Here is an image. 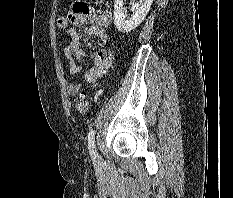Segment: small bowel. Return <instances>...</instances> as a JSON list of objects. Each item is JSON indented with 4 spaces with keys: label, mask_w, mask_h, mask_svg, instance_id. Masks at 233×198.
I'll use <instances>...</instances> for the list:
<instances>
[{
    "label": "small bowel",
    "mask_w": 233,
    "mask_h": 198,
    "mask_svg": "<svg viewBox=\"0 0 233 198\" xmlns=\"http://www.w3.org/2000/svg\"><path fill=\"white\" fill-rule=\"evenodd\" d=\"M68 19L72 27L67 30L70 41L64 48V55L68 62L70 76H76L82 70L83 61L87 59V55L81 49L80 43L88 36H96L105 43V30L111 25L113 15L110 10L96 11L87 3L77 1L72 5ZM87 22H90L92 26L84 32L79 31L78 27ZM90 58L93 61V66L85 71L84 80L93 83L109 70L114 57L109 49L103 47ZM81 87L82 83H69L67 86L68 95H77Z\"/></svg>",
    "instance_id": "1"
}]
</instances>
